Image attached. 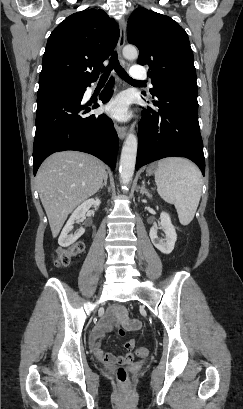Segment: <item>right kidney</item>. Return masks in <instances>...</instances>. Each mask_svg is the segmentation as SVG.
<instances>
[{"label":"right kidney","mask_w":243,"mask_h":409,"mask_svg":"<svg viewBox=\"0 0 243 409\" xmlns=\"http://www.w3.org/2000/svg\"><path fill=\"white\" fill-rule=\"evenodd\" d=\"M100 203L99 198L89 199L74 210L59 236L58 243L60 246L68 247L84 234V228L78 229L75 234H69V232L73 229L74 223L79 222L92 206L98 208Z\"/></svg>","instance_id":"ca27d5eb"}]
</instances>
